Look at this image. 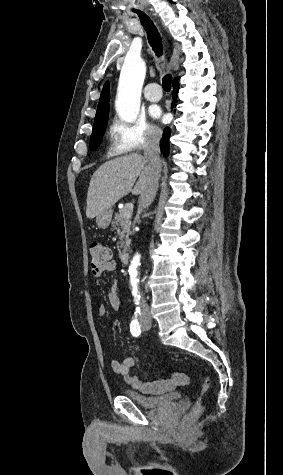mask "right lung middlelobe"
Instances as JSON below:
<instances>
[{
    "label": "right lung middle lobe",
    "mask_w": 283,
    "mask_h": 475,
    "mask_svg": "<svg viewBox=\"0 0 283 475\" xmlns=\"http://www.w3.org/2000/svg\"><path fill=\"white\" fill-rule=\"evenodd\" d=\"M109 105L99 106L94 120L90 138V149H96L102 142L105 128L108 122Z\"/></svg>",
    "instance_id": "right-lung-middle-lobe-1"
}]
</instances>
